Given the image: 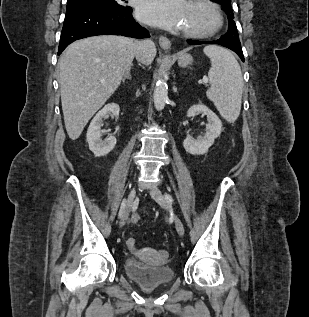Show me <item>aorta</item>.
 <instances>
[{
    "label": "aorta",
    "mask_w": 309,
    "mask_h": 317,
    "mask_svg": "<svg viewBox=\"0 0 309 317\" xmlns=\"http://www.w3.org/2000/svg\"><path fill=\"white\" fill-rule=\"evenodd\" d=\"M153 99L156 110L164 109L168 100V86L165 79L159 78L156 82Z\"/></svg>",
    "instance_id": "obj_1"
}]
</instances>
